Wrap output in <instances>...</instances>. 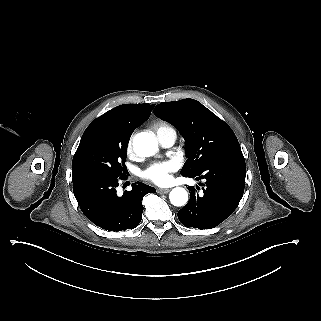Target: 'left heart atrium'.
<instances>
[{
	"label": "left heart atrium",
	"mask_w": 321,
	"mask_h": 321,
	"mask_svg": "<svg viewBox=\"0 0 321 321\" xmlns=\"http://www.w3.org/2000/svg\"><path fill=\"white\" fill-rule=\"evenodd\" d=\"M180 167L177 159H167L152 163L143 171V177L156 184H167L172 178V173Z\"/></svg>",
	"instance_id": "1"
}]
</instances>
